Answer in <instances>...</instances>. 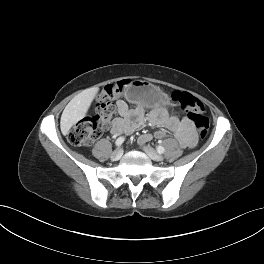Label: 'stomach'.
Here are the masks:
<instances>
[{
	"label": "stomach",
	"instance_id": "stomach-1",
	"mask_svg": "<svg viewBox=\"0 0 264 264\" xmlns=\"http://www.w3.org/2000/svg\"><path fill=\"white\" fill-rule=\"evenodd\" d=\"M126 96L130 101L141 103L146 107L169 104L167 95L160 88L142 80L134 81L127 91Z\"/></svg>",
	"mask_w": 264,
	"mask_h": 264
}]
</instances>
